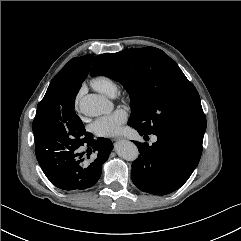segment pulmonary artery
Returning a JSON list of instances; mask_svg holds the SVG:
<instances>
[{"mask_svg": "<svg viewBox=\"0 0 241 241\" xmlns=\"http://www.w3.org/2000/svg\"><path fill=\"white\" fill-rule=\"evenodd\" d=\"M156 140V138H153V141H155Z\"/></svg>", "mask_w": 241, "mask_h": 241, "instance_id": "obj_1", "label": "pulmonary artery"}]
</instances>
